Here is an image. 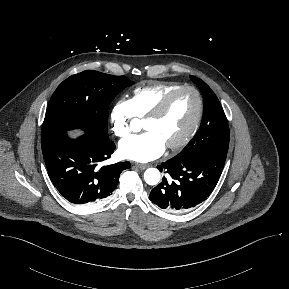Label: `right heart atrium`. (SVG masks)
Masks as SVG:
<instances>
[{"instance_id":"d8ad5b80","label":"right heart atrium","mask_w":289,"mask_h":289,"mask_svg":"<svg viewBox=\"0 0 289 289\" xmlns=\"http://www.w3.org/2000/svg\"><path fill=\"white\" fill-rule=\"evenodd\" d=\"M134 117L130 100H118L110 111V122L113 134L119 138L128 135L131 131V123Z\"/></svg>"}]
</instances>
